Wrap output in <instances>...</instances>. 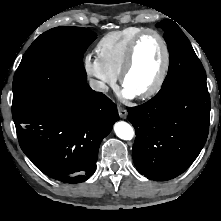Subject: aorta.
<instances>
[{"mask_svg":"<svg viewBox=\"0 0 221 221\" xmlns=\"http://www.w3.org/2000/svg\"><path fill=\"white\" fill-rule=\"evenodd\" d=\"M115 134L123 140H131L134 136V130L130 124L119 121L114 124Z\"/></svg>","mask_w":221,"mask_h":221,"instance_id":"762f6f07","label":"aorta"}]
</instances>
